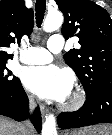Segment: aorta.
Masks as SVG:
<instances>
[{"instance_id": "obj_1", "label": "aorta", "mask_w": 112, "mask_h": 135, "mask_svg": "<svg viewBox=\"0 0 112 135\" xmlns=\"http://www.w3.org/2000/svg\"><path fill=\"white\" fill-rule=\"evenodd\" d=\"M63 23V15L61 12L49 13L43 24L45 32H53L60 28ZM42 135H57L56 117L54 114L45 116V121L42 125Z\"/></svg>"}]
</instances>
